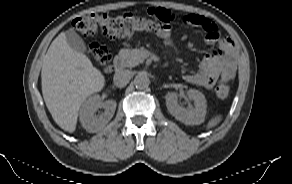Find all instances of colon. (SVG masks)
<instances>
[{
    "label": "colon",
    "instance_id": "colon-1",
    "mask_svg": "<svg viewBox=\"0 0 292 184\" xmlns=\"http://www.w3.org/2000/svg\"><path fill=\"white\" fill-rule=\"evenodd\" d=\"M172 19L173 15L165 9H150L147 16L137 13L117 16L93 13L75 18L73 26L84 36L101 33L110 38H121L139 32L161 33L169 28ZM89 50L94 59L108 70L111 59L108 50L99 44H92ZM215 92L220 99H226L230 87L222 80L217 84Z\"/></svg>",
    "mask_w": 292,
    "mask_h": 184
}]
</instances>
